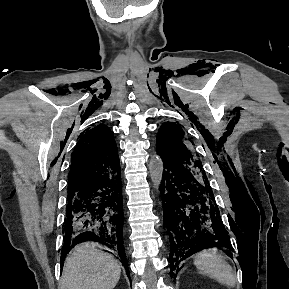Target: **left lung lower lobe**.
<instances>
[{
    "label": "left lung lower lobe",
    "mask_w": 289,
    "mask_h": 289,
    "mask_svg": "<svg viewBox=\"0 0 289 289\" xmlns=\"http://www.w3.org/2000/svg\"><path fill=\"white\" fill-rule=\"evenodd\" d=\"M162 162L160 192L170 242V275L176 278L179 263L192 254L210 247L232 248L209 182L184 166Z\"/></svg>",
    "instance_id": "obj_1"
}]
</instances>
